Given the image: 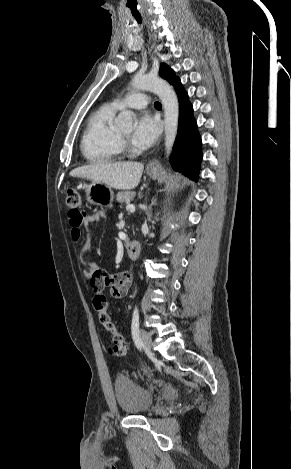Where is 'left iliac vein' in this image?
Masks as SVG:
<instances>
[{"mask_svg":"<svg viewBox=\"0 0 291 469\" xmlns=\"http://www.w3.org/2000/svg\"><path fill=\"white\" fill-rule=\"evenodd\" d=\"M141 339L143 341V344L148 352V355L150 357H154V353L152 352V339L151 336L148 332L146 331H141Z\"/></svg>","mask_w":291,"mask_h":469,"instance_id":"1","label":"left iliac vein"}]
</instances>
